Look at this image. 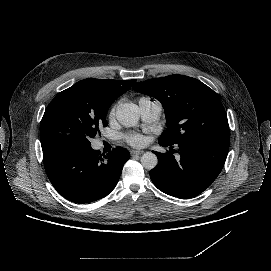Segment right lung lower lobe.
<instances>
[{
    "label": "right lung lower lobe",
    "mask_w": 271,
    "mask_h": 271,
    "mask_svg": "<svg viewBox=\"0 0 271 271\" xmlns=\"http://www.w3.org/2000/svg\"><path fill=\"white\" fill-rule=\"evenodd\" d=\"M43 150L47 176L64 198L90 203L107 196L116 186L129 151L117 147L107 156L90 146L62 144Z\"/></svg>",
    "instance_id": "right-lung-lower-lobe-1"
}]
</instances>
